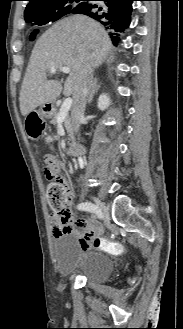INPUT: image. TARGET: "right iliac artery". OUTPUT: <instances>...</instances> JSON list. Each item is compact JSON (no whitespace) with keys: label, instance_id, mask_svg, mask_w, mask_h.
<instances>
[{"label":"right iliac artery","instance_id":"82829eb1","mask_svg":"<svg viewBox=\"0 0 183 329\" xmlns=\"http://www.w3.org/2000/svg\"><path fill=\"white\" fill-rule=\"evenodd\" d=\"M78 210H84L90 213L95 214L98 218L103 219L102 214L100 212V210L92 203L90 202H85V203H80L77 206Z\"/></svg>","mask_w":183,"mask_h":329}]
</instances>
